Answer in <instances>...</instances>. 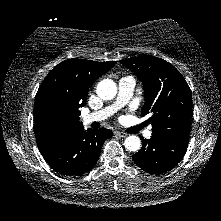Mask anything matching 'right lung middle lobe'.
Here are the masks:
<instances>
[{
	"label": "right lung middle lobe",
	"mask_w": 221,
	"mask_h": 221,
	"mask_svg": "<svg viewBox=\"0 0 221 221\" xmlns=\"http://www.w3.org/2000/svg\"><path fill=\"white\" fill-rule=\"evenodd\" d=\"M62 118V112L58 109H52L46 112V119L51 122L59 121Z\"/></svg>",
	"instance_id": "dd1d6c3e"
}]
</instances>
